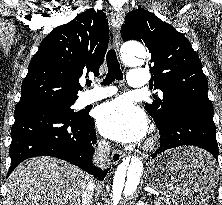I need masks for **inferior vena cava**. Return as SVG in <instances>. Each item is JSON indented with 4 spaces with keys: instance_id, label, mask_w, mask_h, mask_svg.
I'll return each instance as SVG.
<instances>
[{
    "instance_id": "602c4592",
    "label": "inferior vena cava",
    "mask_w": 222,
    "mask_h": 205,
    "mask_svg": "<svg viewBox=\"0 0 222 205\" xmlns=\"http://www.w3.org/2000/svg\"><path fill=\"white\" fill-rule=\"evenodd\" d=\"M110 144L106 141H100L97 146L93 161L95 165L105 169L110 164ZM94 191V183L89 182L82 192L81 205H89Z\"/></svg>"
}]
</instances>
